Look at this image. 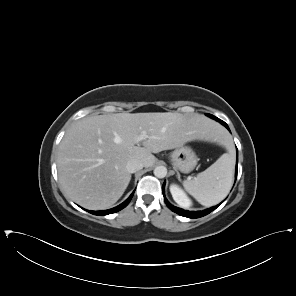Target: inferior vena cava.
Segmentation results:
<instances>
[{
    "mask_svg": "<svg viewBox=\"0 0 296 296\" xmlns=\"http://www.w3.org/2000/svg\"><path fill=\"white\" fill-rule=\"evenodd\" d=\"M144 167L143 163L140 160L133 159L128 161L127 163V170L130 173H135L138 170H141Z\"/></svg>",
    "mask_w": 296,
    "mask_h": 296,
    "instance_id": "1",
    "label": "inferior vena cava"
}]
</instances>
